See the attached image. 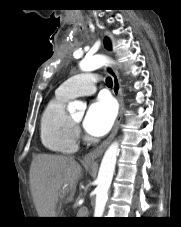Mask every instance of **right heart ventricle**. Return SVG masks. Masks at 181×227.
<instances>
[{"mask_svg":"<svg viewBox=\"0 0 181 227\" xmlns=\"http://www.w3.org/2000/svg\"><path fill=\"white\" fill-rule=\"evenodd\" d=\"M70 99L56 91L41 116V141L45 148L55 153L70 154L78 149L76 126L66 111Z\"/></svg>","mask_w":181,"mask_h":227,"instance_id":"right-heart-ventricle-1","label":"right heart ventricle"}]
</instances>
